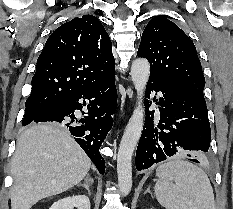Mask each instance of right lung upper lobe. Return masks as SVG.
I'll list each match as a JSON object with an SVG mask.
<instances>
[{
  "label": "right lung upper lobe",
  "mask_w": 233,
  "mask_h": 209,
  "mask_svg": "<svg viewBox=\"0 0 233 209\" xmlns=\"http://www.w3.org/2000/svg\"><path fill=\"white\" fill-rule=\"evenodd\" d=\"M112 44L93 15L74 18L47 39L26 103H55L114 75Z\"/></svg>",
  "instance_id": "cb5924a9"
}]
</instances>
